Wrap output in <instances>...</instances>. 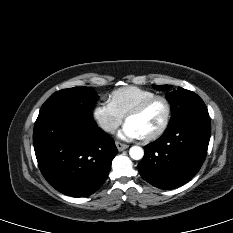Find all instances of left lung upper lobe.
I'll return each mask as SVG.
<instances>
[{"instance_id": "obj_1", "label": "left lung upper lobe", "mask_w": 233, "mask_h": 233, "mask_svg": "<svg viewBox=\"0 0 233 233\" xmlns=\"http://www.w3.org/2000/svg\"><path fill=\"white\" fill-rule=\"evenodd\" d=\"M157 89H166L170 85H153ZM171 105V120L169 126L193 116H209L203 100L194 92L179 87L167 93Z\"/></svg>"}]
</instances>
